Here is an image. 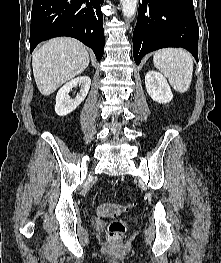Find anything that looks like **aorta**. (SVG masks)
Wrapping results in <instances>:
<instances>
[{"instance_id": "obj_1", "label": "aorta", "mask_w": 221, "mask_h": 263, "mask_svg": "<svg viewBox=\"0 0 221 263\" xmlns=\"http://www.w3.org/2000/svg\"><path fill=\"white\" fill-rule=\"evenodd\" d=\"M125 19L130 21L136 13L138 0H120Z\"/></svg>"}]
</instances>
